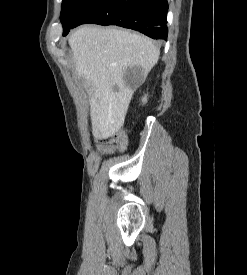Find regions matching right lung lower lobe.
Listing matches in <instances>:
<instances>
[{
	"label": "right lung lower lobe",
	"instance_id": "1",
	"mask_svg": "<svg viewBox=\"0 0 247 275\" xmlns=\"http://www.w3.org/2000/svg\"><path fill=\"white\" fill-rule=\"evenodd\" d=\"M167 11V0H101L84 11L71 28L85 23L117 25L167 40ZM70 29L63 31V36Z\"/></svg>",
	"mask_w": 247,
	"mask_h": 275
}]
</instances>
